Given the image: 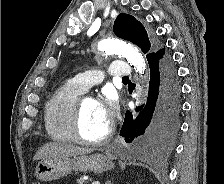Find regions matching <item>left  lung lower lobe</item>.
I'll return each mask as SVG.
<instances>
[{
  "label": "left lung lower lobe",
  "mask_w": 224,
  "mask_h": 184,
  "mask_svg": "<svg viewBox=\"0 0 224 184\" xmlns=\"http://www.w3.org/2000/svg\"><path fill=\"white\" fill-rule=\"evenodd\" d=\"M147 60L150 68L147 104L141 106L144 109L136 119L126 112L120 136L131 143L149 126L136 143L142 142L145 149L165 151L172 147L179 128L180 87L171 55L165 48L147 56Z\"/></svg>",
  "instance_id": "1"
}]
</instances>
